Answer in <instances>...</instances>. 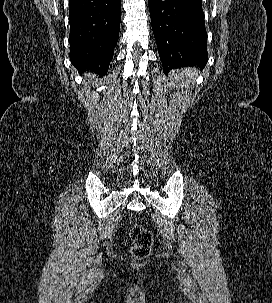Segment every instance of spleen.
<instances>
[{"mask_svg": "<svg viewBox=\"0 0 272 303\" xmlns=\"http://www.w3.org/2000/svg\"><path fill=\"white\" fill-rule=\"evenodd\" d=\"M185 73L189 76V77H195L198 75V71L196 69H186Z\"/></svg>", "mask_w": 272, "mask_h": 303, "instance_id": "spleen-1", "label": "spleen"}]
</instances>
